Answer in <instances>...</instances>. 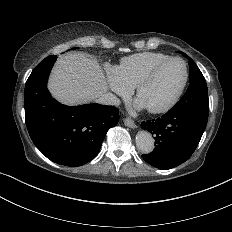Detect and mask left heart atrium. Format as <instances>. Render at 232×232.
<instances>
[{"instance_id":"1","label":"left heart atrium","mask_w":232,"mask_h":232,"mask_svg":"<svg viewBox=\"0 0 232 232\" xmlns=\"http://www.w3.org/2000/svg\"><path fill=\"white\" fill-rule=\"evenodd\" d=\"M135 107L136 109H146L138 100H135Z\"/></svg>"}]
</instances>
